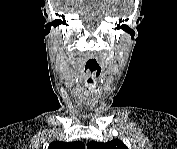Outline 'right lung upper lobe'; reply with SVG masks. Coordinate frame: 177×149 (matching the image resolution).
I'll list each match as a JSON object with an SVG mask.
<instances>
[{"label": "right lung upper lobe", "instance_id": "obj_1", "mask_svg": "<svg viewBox=\"0 0 177 149\" xmlns=\"http://www.w3.org/2000/svg\"><path fill=\"white\" fill-rule=\"evenodd\" d=\"M49 149H85V145L81 141L76 142H58L50 143Z\"/></svg>", "mask_w": 177, "mask_h": 149}]
</instances>
